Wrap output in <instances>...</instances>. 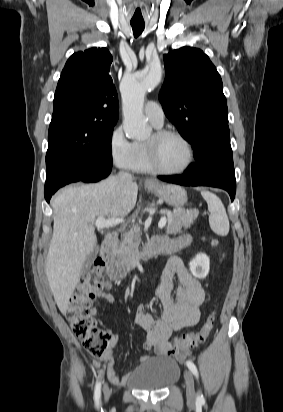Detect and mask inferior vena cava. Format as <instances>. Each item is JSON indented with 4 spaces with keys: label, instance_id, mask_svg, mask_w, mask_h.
Wrapping results in <instances>:
<instances>
[{
    "label": "inferior vena cava",
    "instance_id": "602c4592",
    "mask_svg": "<svg viewBox=\"0 0 283 412\" xmlns=\"http://www.w3.org/2000/svg\"><path fill=\"white\" fill-rule=\"evenodd\" d=\"M119 176H122V177H130L131 175H130L129 173H127V172H120V173H119Z\"/></svg>",
    "mask_w": 283,
    "mask_h": 412
}]
</instances>
